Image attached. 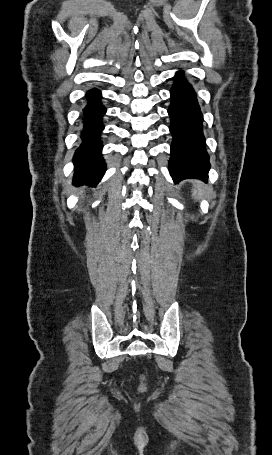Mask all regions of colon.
<instances>
[{"label":"colon","mask_w":272,"mask_h":455,"mask_svg":"<svg viewBox=\"0 0 272 455\" xmlns=\"http://www.w3.org/2000/svg\"><path fill=\"white\" fill-rule=\"evenodd\" d=\"M143 381H144V379L142 378V382H143ZM144 388H145V384H144V383H142V385H141V389L143 390Z\"/></svg>","instance_id":"5ec220e1"}]
</instances>
